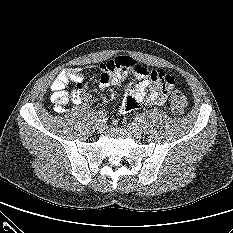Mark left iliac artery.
Wrapping results in <instances>:
<instances>
[{
  "label": "left iliac artery",
  "instance_id": "left-iliac-artery-1",
  "mask_svg": "<svg viewBox=\"0 0 233 233\" xmlns=\"http://www.w3.org/2000/svg\"><path fill=\"white\" fill-rule=\"evenodd\" d=\"M135 121L138 122V123H141L142 122V117H136Z\"/></svg>",
  "mask_w": 233,
  "mask_h": 233
}]
</instances>
